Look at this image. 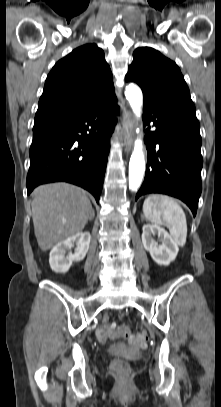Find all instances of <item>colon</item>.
Returning <instances> with one entry per match:
<instances>
[{"label":"colon","mask_w":221,"mask_h":407,"mask_svg":"<svg viewBox=\"0 0 221 407\" xmlns=\"http://www.w3.org/2000/svg\"><path fill=\"white\" fill-rule=\"evenodd\" d=\"M121 320L123 317L119 315L117 317ZM119 337H125L127 340L138 349H145L147 347V336L143 333L136 334L130 331V329L121 325H106L101 327L97 332V338L101 343H106L109 339H116ZM111 368L114 372L120 375H124L128 372V364L121 359H114L111 362Z\"/></svg>","instance_id":"obj_1"}]
</instances>
